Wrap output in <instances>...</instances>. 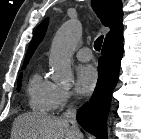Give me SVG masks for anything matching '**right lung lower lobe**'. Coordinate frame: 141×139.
Wrapping results in <instances>:
<instances>
[{
	"label": "right lung lower lobe",
	"instance_id": "98d812e1",
	"mask_svg": "<svg viewBox=\"0 0 141 139\" xmlns=\"http://www.w3.org/2000/svg\"><path fill=\"white\" fill-rule=\"evenodd\" d=\"M123 55V36L104 42L98 63V81L88 103L77 112L78 123L98 139H106V121Z\"/></svg>",
	"mask_w": 141,
	"mask_h": 139
}]
</instances>
